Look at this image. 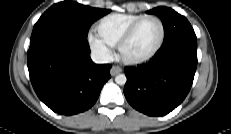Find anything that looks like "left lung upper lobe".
Masks as SVG:
<instances>
[{
	"label": "left lung upper lobe",
	"mask_w": 231,
	"mask_h": 134,
	"mask_svg": "<svg viewBox=\"0 0 231 134\" xmlns=\"http://www.w3.org/2000/svg\"><path fill=\"white\" fill-rule=\"evenodd\" d=\"M146 13L155 14L162 20L164 27V41L162 46L179 39L196 38L195 32L188 20L173 9L157 7Z\"/></svg>",
	"instance_id": "obj_1"
}]
</instances>
